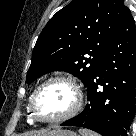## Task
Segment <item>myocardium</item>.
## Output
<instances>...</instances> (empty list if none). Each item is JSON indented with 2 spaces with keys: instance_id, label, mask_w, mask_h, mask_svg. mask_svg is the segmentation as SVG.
Instances as JSON below:
<instances>
[{
  "instance_id": "obj_1",
  "label": "myocardium",
  "mask_w": 136,
  "mask_h": 136,
  "mask_svg": "<svg viewBox=\"0 0 136 136\" xmlns=\"http://www.w3.org/2000/svg\"><path fill=\"white\" fill-rule=\"evenodd\" d=\"M53 82H61L69 86L74 93V103H73V106L69 109V111H67L65 114L59 117L50 118V119L41 118L37 115L35 111L36 98L38 94L47 85ZM82 105H83V90L81 86L73 78L69 76L56 75V76L49 77L35 89V91L30 97L28 109H29L30 115L33 120L40 122V123L54 124V123H61V122L67 121L73 118L74 116H76L81 110Z\"/></svg>"
}]
</instances>
